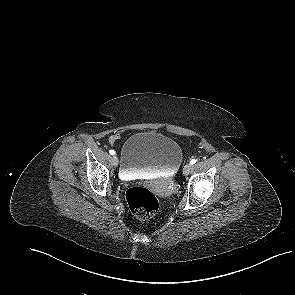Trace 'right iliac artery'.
<instances>
[{
  "label": "right iliac artery",
  "instance_id": "right-iliac-artery-1",
  "mask_svg": "<svg viewBox=\"0 0 295 295\" xmlns=\"http://www.w3.org/2000/svg\"><path fill=\"white\" fill-rule=\"evenodd\" d=\"M109 153H110L111 155H114V154H115V151H114V150H110Z\"/></svg>",
  "mask_w": 295,
  "mask_h": 295
}]
</instances>
